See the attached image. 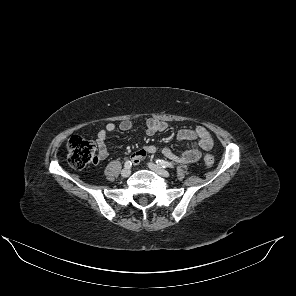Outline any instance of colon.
<instances>
[{"instance_id": "colon-1", "label": "colon", "mask_w": 296, "mask_h": 296, "mask_svg": "<svg viewBox=\"0 0 296 296\" xmlns=\"http://www.w3.org/2000/svg\"><path fill=\"white\" fill-rule=\"evenodd\" d=\"M68 159L74 168L82 169L90 163L97 161L96 146L94 142L86 140L79 136H73L67 144ZM204 163L207 167L214 164V158L211 155L204 157Z\"/></svg>"}]
</instances>
